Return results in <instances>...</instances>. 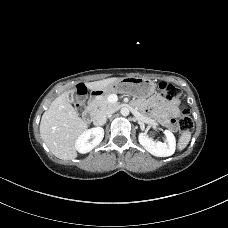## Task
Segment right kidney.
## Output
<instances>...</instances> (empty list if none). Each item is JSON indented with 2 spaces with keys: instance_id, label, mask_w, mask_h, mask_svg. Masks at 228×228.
I'll use <instances>...</instances> for the list:
<instances>
[{
  "instance_id": "obj_1",
  "label": "right kidney",
  "mask_w": 228,
  "mask_h": 228,
  "mask_svg": "<svg viewBox=\"0 0 228 228\" xmlns=\"http://www.w3.org/2000/svg\"><path fill=\"white\" fill-rule=\"evenodd\" d=\"M103 137L104 129L102 127L88 129L77 138L75 148L79 153H88L103 140Z\"/></svg>"
}]
</instances>
